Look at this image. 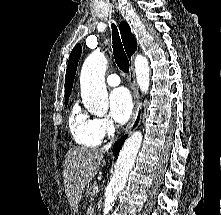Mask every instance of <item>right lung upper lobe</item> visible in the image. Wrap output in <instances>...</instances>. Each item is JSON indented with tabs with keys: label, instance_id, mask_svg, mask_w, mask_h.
<instances>
[{
	"label": "right lung upper lobe",
	"instance_id": "obj_1",
	"mask_svg": "<svg viewBox=\"0 0 221 215\" xmlns=\"http://www.w3.org/2000/svg\"><path fill=\"white\" fill-rule=\"evenodd\" d=\"M119 27L125 51L128 57L131 58L132 54L137 49L136 39L134 35L131 33V29L126 22L122 21ZM81 52H82V47L80 44H78L73 48L69 56L68 67L66 70V78H65V98H69L70 96Z\"/></svg>",
	"mask_w": 221,
	"mask_h": 215
}]
</instances>
